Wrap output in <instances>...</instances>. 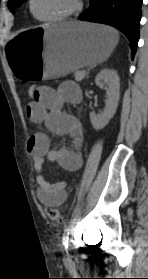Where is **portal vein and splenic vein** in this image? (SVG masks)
Wrapping results in <instances>:
<instances>
[{
	"instance_id": "portal-vein-and-splenic-vein-1",
	"label": "portal vein and splenic vein",
	"mask_w": 148,
	"mask_h": 279,
	"mask_svg": "<svg viewBox=\"0 0 148 279\" xmlns=\"http://www.w3.org/2000/svg\"><path fill=\"white\" fill-rule=\"evenodd\" d=\"M86 75V71H82L81 76L84 77Z\"/></svg>"
}]
</instances>
